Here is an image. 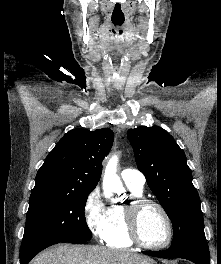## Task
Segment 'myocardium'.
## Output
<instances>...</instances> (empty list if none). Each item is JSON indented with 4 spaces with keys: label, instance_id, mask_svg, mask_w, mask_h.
<instances>
[{
    "label": "myocardium",
    "instance_id": "obj_1",
    "mask_svg": "<svg viewBox=\"0 0 221 264\" xmlns=\"http://www.w3.org/2000/svg\"><path fill=\"white\" fill-rule=\"evenodd\" d=\"M146 206H154L156 207L161 214L163 215L167 227H168V236L165 242L159 245H151L143 241L140 236L139 232V218L141 211ZM124 216H125V223H126V230L129 239L136 245L149 249V250H162L168 247L171 242L173 241L174 237V227L172 219L164 208L159 202L146 198V197H134L132 198L126 205H124Z\"/></svg>",
    "mask_w": 221,
    "mask_h": 264
}]
</instances>
